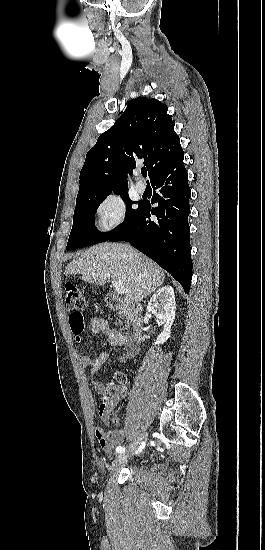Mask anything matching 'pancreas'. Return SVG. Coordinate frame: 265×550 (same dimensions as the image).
<instances>
[{
  "label": "pancreas",
  "instance_id": "1",
  "mask_svg": "<svg viewBox=\"0 0 265 550\" xmlns=\"http://www.w3.org/2000/svg\"><path fill=\"white\" fill-rule=\"evenodd\" d=\"M123 316H127V314H126V313H124V314H123Z\"/></svg>",
  "mask_w": 265,
  "mask_h": 550
}]
</instances>
